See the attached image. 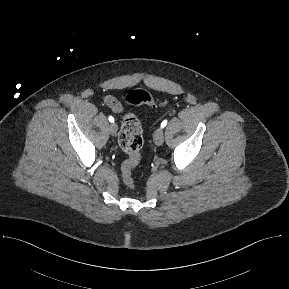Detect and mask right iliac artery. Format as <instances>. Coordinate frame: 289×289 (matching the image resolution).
I'll list each match as a JSON object with an SVG mask.
<instances>
[{
    "instance_id": "82829eb1",
    "label": "right iliac artery",
    "mask_w": 289,
    "mask_h": 289,
    "mask_svg": "<svg viewBox=\"0 0 289 289\" xmlns=\"http://www.w3.org/2000/svg\"><path fill=\"white\" fill-rule=\"evenodd\" d=\"M109 121L111 122V123H113L114 122V118L112 117V116H109Z\"/></svg>"
}]
</instances>
